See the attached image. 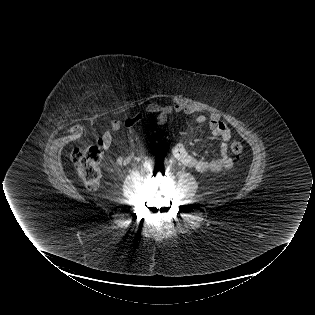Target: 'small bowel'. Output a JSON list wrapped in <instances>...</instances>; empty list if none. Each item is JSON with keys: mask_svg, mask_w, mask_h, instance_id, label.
Masks as SVG:
<instances>
[{"mask_svg": "<svg viewBox=\"0 0 315 315\" xmlns=\"http://www.w3.org/2000/svg\"><path fill=\"white\" fill-rule=\"evenodd\" d=\"M194 111L182 104L174 105H160L156 103L148 104L144 113L154 115L157 124L163 125L167 122L169 115L186 114L190 115ZM143 112H139L132 117L126 118L124 121L112 120L109 123L108 129L103 133L102 140L104 143V150L109 151L113 141V134L119 132L122 128H132L144 117ZM196 126L207 124L212 135L221 139V144L218 149V158L205 160L192 155L182 144L176 145L172 149L173 157L183 165L192 168L200 173L218 172L223 169H230L233 166V160L229 155L228 142L231 139V132L229 128L220 120L216 113L208 116L199 115L195 118ZM131 155L125 154L117 157L115 164L118 167L125 166L131 162Z\"/></svg>", "mask_w": 315, "mask_h": 315, "instance_id": "1", "label": "small bowel"}]
</instances>
